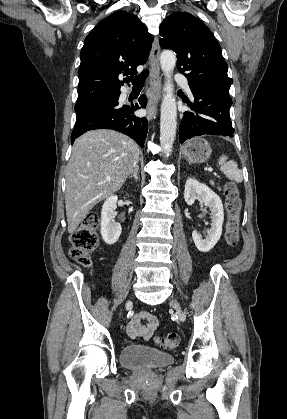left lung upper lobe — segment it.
<instances>
[{
	"instance_id": "1",
	"label": "left lung upper lobe",
	"mask_w": 287,
	"mask_h": 419,
	"mask_svg": "<svg viewBox=\"0 0 287 419\" xmlns=\"http://www.w3.org/2000/svg\"><path fill=\"white\" fill-rule=\"evenodd\" d=\"M160 46L177 54V68L191 89L229 93L232 79L221 48L208 27L187 12L169 15L160 25Z\"/></svg>"
}]
</instances>
